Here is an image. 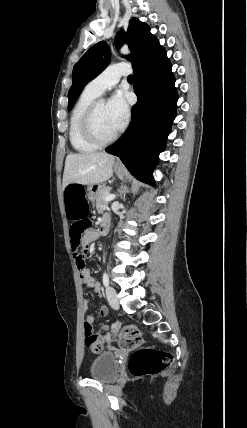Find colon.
<instances>
[{
    "mask_svg": "<svg viewBox=\"0 0 247 428\" xmlns=\"http://www.w3.org/2000/svg\"><path fill=\"white\" fill-rule=\"evenodd\" d=\"M65 205L64 216L70 221L71 229V242L76 248L83 235L93 224L92 217H87L88 210L84 196V190L81 186L76 184L68 185L64 192ZM76 263L78 267L84 266V259L81 255L76 256ZM84 306H91L92 302L83 300ZM97 314L100 317H107L110 314L108 305L105 302L96 304ZM94 323L91 319H86L84 322L85 329V346L93 352L99 353L103 350V341L105 335L102 332L109 331V326H100V331L92 333ZM119 333V346L127 351H134L129 360V370L132 375L141 377L145 375L158 374L167 368L173 361V357L166 351L156 350L150 347H141L143 338L140 330L134 325H127L117 329Z\"/></svg>",
    "mask_w": 247,
    "mask_h": 428,
    "instance_id": "colon-1",
    "label": "colon"
}]
</instances>
